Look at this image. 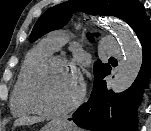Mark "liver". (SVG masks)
Listing matches in <instances>:
<instances>
[{"mask_svg": "<svg viewBox=\"0 0 151 131\" xmlns=\"http://www.w3.org/2000/svg\"><path fill=\"white\" fill-rule=\"evenodd\" d=\"M42 121V118L39 117H21L15 120L14 127L24 125V124H33L36 122Z\"/></svg>", "mask_w": 151, "mask_h": 131, "instance_id": "1", "label": "liver"}]
</instances>
